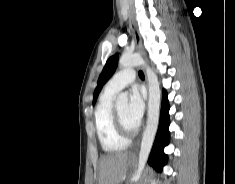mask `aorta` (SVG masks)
Here are the masks:
<instances>
[{
  "instance_id": "obj_1",
  "label": "aorta",
  "mask_w": 235,
  "mask_h": 184,
  "mask_svg": "<svg viewBox=\"0 0 235 184\" xmlns=\"http://www.w3.org/2000/svg\"><path fill=\"white\" fill-rule=\"evenodd\" d=\"M120 68H132V66H142L146 72L148 84H149V100H148V120L146 130L143 134L140 152H139V162L138 170H136L132 180L133 182H138L141 178V174L145 168L147 158L150 154L152 144L154 142L155 134L158 128L159 122V110H160V88L158 78L153 72L152 68L147 66L145 60L139 54H123L119 60ZM117 106H122V104H128V94L127 92H122L119 94L116 100Z\"/></svg>"
}]
</instances>
